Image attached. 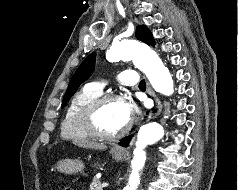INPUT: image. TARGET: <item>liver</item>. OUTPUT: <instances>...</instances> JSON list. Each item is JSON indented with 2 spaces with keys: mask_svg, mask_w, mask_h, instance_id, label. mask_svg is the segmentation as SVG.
<instances>
[{
  "mask_svg": "<svg viewBox=\"0 0 238 190\" xmlns=\"http://www.w3.org/2000/svg\"><path fill=\"white\" fill-rule=\"evenodd\" d=\"M75 145L83 148H88V149H96V150H106L107 146L102 144V143H96L92 141H75Z\"/></svg>",
  "mask_w": 238,
  "mask_h": 190,
  "instance_id": "obj_1",
  "label": "liver"
}]
</instances>
